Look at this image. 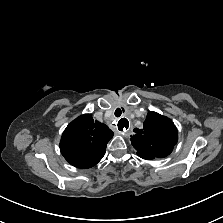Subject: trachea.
Returning <instances> with one entry per match:
<instances>
[{"label": "trachea", "instance_id": "1", "mask_svg": "<svg viewBox=\"0 0 223 223\" xmlns=\"http://www.w3.org/2000/svg\"><path fill=\"white\" fill-rule=\"evenodd\" d=\"M123 112H124V110H123ZM121 114H122L121 109H120V108H117V109L115 110V116H116V117H120Z\"/></svg>", "mask_w": 223, "mask_h": 223}]
</instances>
